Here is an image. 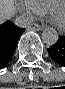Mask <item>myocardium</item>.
<instances>
[{"label": "myocardium", "instance_id": "myocardium-1", "mask_svg": "<svg viewBox=\"0 0 65 89\" xmlns=\"http://www.w3.org/2000/svg\"><path fill=\"white\" fill-rule=\"evenodd\" d=\"M63 4L59 3V2H55L53 3L49 10H48V13H49V16H50V20L57 26L59 27L60 29H65V19L64 21H59L58 18L56 17V12L59 8V6H61ZM65 6V5H64Z\"/></svg>", "mask_w": 65, "mask_h": 89}]
</instances>
